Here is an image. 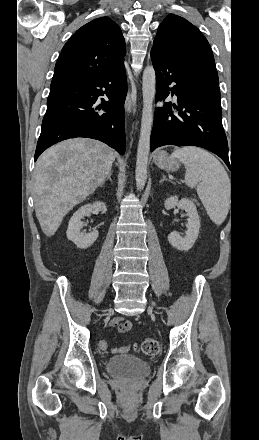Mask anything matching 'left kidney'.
Here are the masks:
<instances>
[{"mask_svg":"<svg viewBox=\"0 0 259 440\" xmlns=\"http://www.w3.org/2000/svg\"><path fill=\"white\" fill-rule=\"evenodd\" d=\"M177 206L180 209L186 211L188 216V222L186 224V235L182 237L177 232H172L168 235L169 243L180 251H188L194 245L200 229V219L196 209V205L193 201L187 198H183L181 200L178 199L177 196H171L166 199L164 203V207L167 210H170Z\"/></svg>","mask_w":259,"mask_h":440,"instance_id":"obj_1","label":"left kidney"}]
</instances>
